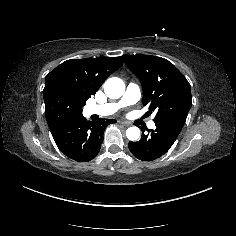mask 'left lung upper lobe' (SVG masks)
I'll list each match as a JSON object with an SVG mask.
<instances>
[{
  "instance_id": "5c2ea615",
  "label": "left lung upper lobe",
  "mask_w": 236,
  "mask_h": 236,
  "mask_svg": "<svg viewBox=\"0 0 236 236\" xmlns=\"http://www.w3.org/2000/svg\"><path fill=\"white\" fill-rule=\"evenodd\" d=\"M140 79L143 104L156 110L154 122L173 121L183 125L191 108V88L184 75L168 60L149 55L122 56Z\"/></svg>"
}]
</instances>
